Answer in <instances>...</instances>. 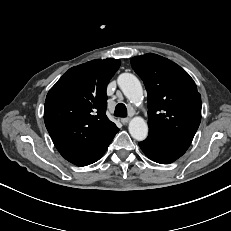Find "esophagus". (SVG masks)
Wrapping results in <instances>:
<instances>
[{
	"label": "esophagus",
	"instance_id": "obj_1",
	"mask_svg": "<svg viewBox=\"0 0 231 231\" xmlns=\"http://www.w3.org/2000/svg\"><path fill=\"white\" fill-rule=\"evenodd\" d=\"M130 121L129 118H121V122L125 125Z\"/></svg>",
	"mask_w": 231,
	"mask_h": 231
}]
</instances>
